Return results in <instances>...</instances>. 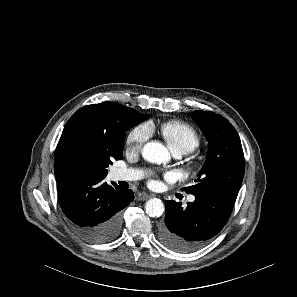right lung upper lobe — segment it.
<instances>
[{
    "label": "right lung upper lobe",
    "mask_w": 297,
    "mask_h": 297,
    "mask_svg": "<svg viewBox=\"0 0 297 297\" xmlns=\"http://www.w3.org/2000/svg\"><path fill=\"white\" fill-rule=\"evenodd\" d=\"M126 106L102 102L85 106L75 112L64 127L57 144L54 172L57 184L80 174L98 176L102 169L98 158L109 154L113 159L123 151ZM96 162V173L89 164Z\"/></svg>",
    "instance_id": "cb5924a9"
}]
</instances>
